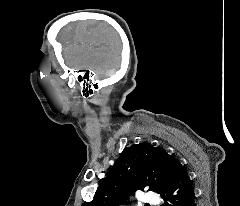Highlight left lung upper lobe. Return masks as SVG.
<instances>
[{
	"label": "left lung upper lobe",
	"instance_id": "5c2ea615",
	"mask_svg": "<svg viewBox=\"0 0 240 206\" xmlns=\"http://www.w3.org/2000/svg\"><path fill=\"white\" fill-rule=\"evenodd\" d=\"M176 161L164 149L149 143L133 144L122 152L94 199L82 206H116L125 202L128 195L144 188L162 195Z\"/></svg>",
	"mask_w": 240,
	"mask_h": 206
}]
</instances>
